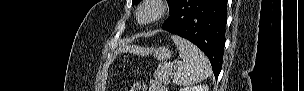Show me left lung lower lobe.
I'll return each mask as SVG.
<instances>
[{
  "mask_svg": "<svg viewBox=\"0 0 304 91\" xmlns=\"http://www.w3.org/2000/svg\"><path fill=\"white\" fill-rule=\"evenodd\" d=\"M226 0H179L162 29L197 45L209 58L216 79L222 68Z\"/></svg>",
  "mask_w": 304,
  "mask_h": 91,
  "instance_id": "left-lung-lower-lobe-1",
  "label": "left lung lower lobe"
}]
</instances>
